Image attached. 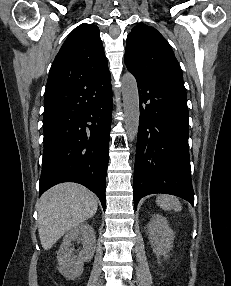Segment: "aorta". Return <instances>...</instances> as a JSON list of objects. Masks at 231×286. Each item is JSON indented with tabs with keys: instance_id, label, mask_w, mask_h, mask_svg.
Instances as JSON below:
<instances>
[{
	"instance_id": "762f6f07",
	"label": "aorta",
	"mask_w": 231,
	"mask_h": 286,
	"mask_svg": "<svg viewBox=\"0 0 231 286\" xmlns=\"http://www.w3.org/2000/svg\"><path fill=\"white\" fill-rule=\"evenodd\" d=\"M122 99L125 115V129L130 142H133L139 128V94L135 77L126 72L122 76Z\"/></svg>"
}]
</instances>
